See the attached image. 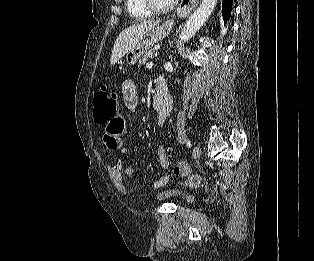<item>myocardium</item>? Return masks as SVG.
Segmentation results:
<instances>
[{
    "mask_svg": "<svg viewBox=\"0 0 314 261\" xmlns=\"http://www.w3.org/2000/svg\"><path fill=\"white\" fill-rule=\"evenodd\" d=\"M177 0H172L166 6H158L154 0H142L143 4L154 14H166L173 10Z\"/></svg>",
    "mask_w": 314,
    "mask_h": 261,
    "instance_id": "f54148a6",
    "label": "myocardium"
}]
</instances>
